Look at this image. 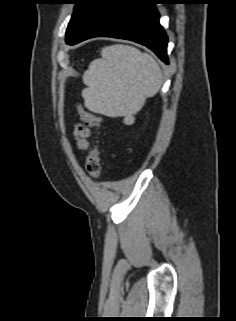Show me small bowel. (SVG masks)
I'll return each instance as SVG.
<instances>
[{
    "label": "small bowel",
    "instance_id": "1",
    "mask_svg": "<svg viewBox=\"0 0 236 321\" xmlns=\"http://www.w3.org/2000/svg\"><path fill=\"white\" fill-rule=\"evenodd\" d=\"M74 137L77 140L78 146L80 148H85L87 146V138L90 136V130L84 124H76L74 126Z\"/></svg>",
    "mask_w": 236,
    "mask_h": 321
}]
</instances>
